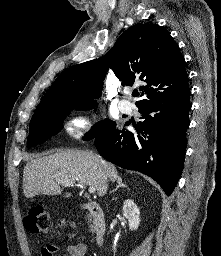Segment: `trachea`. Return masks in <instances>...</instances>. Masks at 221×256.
I'll return each mask as SVG.
<instances>
[{
  "instance_id": "3493384b",
  "label": "trachea",
  "mask_w": 221,
  "mask_h": 256,
  "mask_svg": "<svg viewBox=\"0 0 221 256\" xmlns=\"http://www.w3.org/2000/svg\"><path fill=\"white\" fill-rule=\"evenodd\" d=\"M138 95H139L138 92H133V93H132V96H133V97H136V96H138Z\"/></svg>"
}]
</instances>
